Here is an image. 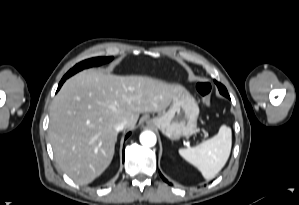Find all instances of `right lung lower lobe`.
<instances>
[{"label": "right lung lower lobe", "mask_w": 299, "mask_h": 205, "mask_svg": "<svg viewBox=\"0 0 299 205\" xmlns=\"http://www.w3.org/2000/svg\"><path fill=\"white\" fill-rule=\"evenodd\" d=\"M66 80V79H65ZM64 79H62L61 80V82H60V84H59V87H58V90L60 89V87L62 86V84H63V82L65 81ZM130 133H128L127 135H126V138L128 137V135H129Z\"/></svg>", "instance_id": "98d812e1"}]
</instances>
